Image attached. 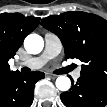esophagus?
I'll use <instances>...</instances> for the list:
<instances>
[{
  "instance_id": "34e87169",
  "label": "esophagus",
  "mask_w": 107,
  "mask_h": 107,
  "mask_svg": "<svg viewBox=\"0 0 107 107\" xmlns=\"http://www.w3.org/2000/svg\"><path fill=\"white\" fill-rule=\"evenodd\" d=\"M46 75L52 79H55L57 75L51 74V73H46Z\"/></svg>"
}]
</instances>
